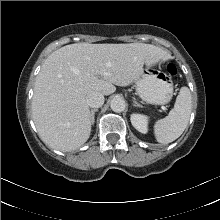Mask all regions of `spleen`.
<instances>
[{
    "mask_svg": "<svg viewBox=\"0 0 220 220\" xmlns=\"http://www.w3.org/2000/svg\"><path fill=\"white\" fill-rule=\"evenodd\" d=\"M192 96L188 87H182L176 98L174 108L168 116L154 124V134L159 143L175 141L184 132L190 118Z\"/></svg>",
    "mask_w": 220,
    "mask_h": 220,
    "instance_id": "spleen-1",
    "label": "spleen"
}]
</instances>
